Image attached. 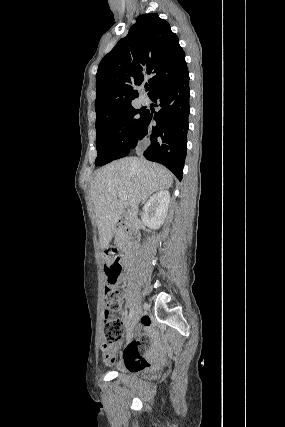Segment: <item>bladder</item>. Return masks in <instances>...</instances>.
I'll use <instances>...</instances> for the list:
<instances>
[{"instance_id":"bladder-1","label":"bladder","mask_w":285,"mask_h":427,"mask_svg":"<svg viewBox=\"0 0 285 427\" xmlns=\"http://www.w3.org/2000/svg\"><path fill=\"white\" fill-rule=\"evenodd\" d=\"M116 372L118 373V374H126V375H132V376H137V375H139L140 373H141V370H137V371H130V370H127V369H125V368H117L116 369Z\"/></svg>"}]
</instances>
